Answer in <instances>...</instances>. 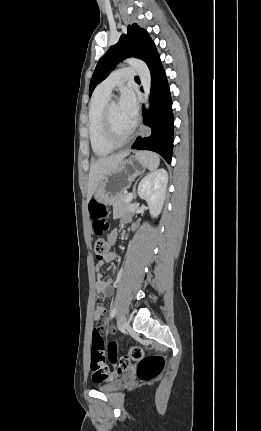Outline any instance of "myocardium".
I'll return each mask as SVG.
<instances>
[{
    "label": "myocardium",
    "instance_id": "f54148a6",
    "mask_svg": "<svg viewBox=\"0 0 261 431\" xmlns=\"http://www.w3.org/2000/svg\"><path fill=\"white\" fill-rule=\"evenodd\" d=\"M111 105H112V102L107 103L102 113L103 137L108 145H110L113 148H119L126 145L131 140L135 131V127L133 126L125 137L123 138L117 137L113 130L111 120H110Z\"/></svg>",
    "mask_w": 261,
    "mask_h": 431
}]
</instances>
